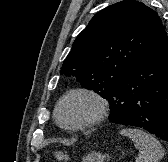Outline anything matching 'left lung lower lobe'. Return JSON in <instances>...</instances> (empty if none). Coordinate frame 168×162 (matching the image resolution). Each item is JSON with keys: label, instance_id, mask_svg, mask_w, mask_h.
<instances>
[{"label": "left lung lower lobe", "instance_id": "left-lung-lower-lobe-1", "mask_svg": "<svg viewBox=\"0 0 168 162\" xmlns=\"http://www.w3.org/2000/svg\"><path fill=\"white\" fill-rule=\"evenodd\" d=\"M109 120L147 130L168 142V37L163 30L117 86Z\"/></svg>", "mask_w": 168, "mask_h": 162}]
</instances>
